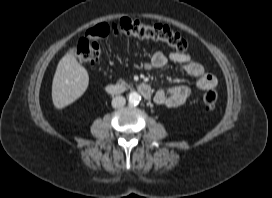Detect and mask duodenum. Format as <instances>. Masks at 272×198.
<instances>
[{
  "instance_id": "duodenum-1",
  "label": "duodenum",
  "mask_w": 272,
  "mask_h": 198,
  "mask_svg": "<svg viewBox=\"0 0 272 198\" xmlns=\"http://www.w3.org/2000/svg\"><path fill=\"white\" fill-rule=\"evenodd\" d=\"M140 94L147 100H150L152 98V90L151 87L146 83H139L135 87ZM129 87L124 84L119 83H111L106 85L105 91L109 95H120L123 93H126L128 91Z\"/></svg>"
}]
</instances>
